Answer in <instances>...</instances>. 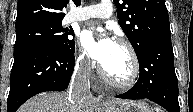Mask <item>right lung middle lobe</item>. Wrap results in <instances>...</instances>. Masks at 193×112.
Returning a JSON list of instances; mask_svg holds the SVG:
<instances>
[{"label":"right lung middle lobe","instance_id":"obj_1","mask_svg":"<svg viewBox=\"0 0 193 112\" xmlns=\"http://www.w3.org/2000/svg\"><path fill=\"white\" fill-rule=\"evenodd\" d=\"M68 35L74 36V31L63 29L61 23L36 24L16 30V42L14 45V56L33 47L51 44L61 51L70 52L74 50L73 40Z\"/></svg>","mask_w":193,"mask_h":112}]
</instances>
